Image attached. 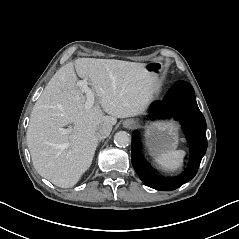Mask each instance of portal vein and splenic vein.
<instances>
[{"label":"portal vein and splenic vein","instance_id":"portal-vein-and-splenic-vein-1","mask_svg":"<svg viewBox=\"0 0 239 239\" xmlns=\"http://www.w3.org/2000/svg\"><path fill=\"white\" fill-rule=\"evenodd\" d=\"M88 82L87 81H80L79 85L82 87L84 92H86L87 95V101L86 104L88 106H91L94 102V94L90 91L89 87L87 86ZM60 133L64 134L66 132V129L64 128H59L58 130Z\"/></svg>","mask_w":239,"mask_h":239}]
</instances>
